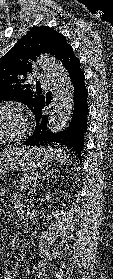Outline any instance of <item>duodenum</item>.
<instances>
[{
	"mask_svg": "<svg viewBox=\"0 0 113 279\" xmlns=\"http://www.w3.org/2000/svg\"><path fill=\"white\" fill-rule=\"evenodd\" d=\"M15 211L18 216H21L24 213V205L22 203H17L15 205ZM13 243H17V239H14Z\"/></svg>",
	"mask_w": 113,
	"mask_h": 279,
	"instance_id": "duodenum-1",
	"label": "duodenum"
}]
</instances>
